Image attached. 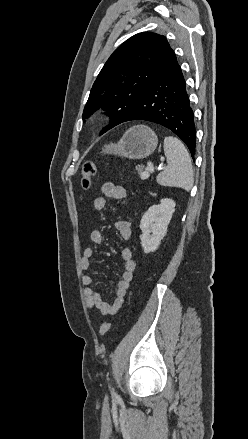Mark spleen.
Listing matches in <instances>:
<instances>
[{"mask_svg":"<svg viewBox=\"0 0 248 439\" xmlns=\"http://www.w3.org/2000/svg\"><path fill=\"white\" fill-rule=\"evenodd\" d=\"M164 153L167 158V167L158 174L157 182L162 186L179 187L190 191L193 187L194 176L191 159L184 144L175 137H166Z\"/></svg>","mask_w":248,"mask_h":439,"instance_id":"spleen-1","label":"spleen"}]
</instances>
